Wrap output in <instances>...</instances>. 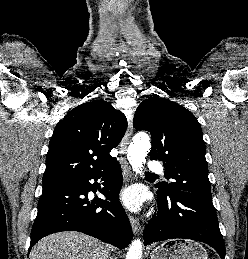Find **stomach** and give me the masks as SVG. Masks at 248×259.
<instances>
[{
  "instance_id": "stomach-1",
  "label": "stomach",
  "mask_w": 248,
  "mask_h": 259,
  "mask_svg": "<svg viewBox=\"0 0 248 259\" xmlns=\"http://www.w3.org/2000/svg\"><path fill=\"white\" fill-rule=\"evenodd\" d=\"M151 259H208L202 245L188 239L165 241L150 253Z\"/></svg>"
}]
</instances>
